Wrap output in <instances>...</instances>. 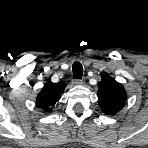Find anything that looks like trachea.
I'll use <instances>...</instances> for the list:
<instances>
[{"label":"trachea","instance_id":"obj_1","mask_svg":"<svg viewBox=\"0 0 148 148\" xmlns=\"http://www.w3.org/2000/svg\"><path fill=\"white\" fill-rule=\"evenodd\" d=\"M72 70H73V78L75 79H81L83 75V67L81 63L75 62L72 65Z\"/></svg>","mask_w":148,"mask_h":148}]
</instances>
